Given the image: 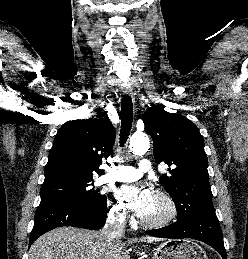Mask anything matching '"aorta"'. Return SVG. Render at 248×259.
<instances>
[{"instance_id":"aorta-1","label":"aorta","mask_w":248,"mask_h":259,"mask_svg":"<svg viewBox=\"0 0 248 259\" xmlns=\"http://www.w3.org/2000/svg\"><path fill=\"white\" fill-rule=\"evenodd\" d=\"M150 147L149 138L145 135L132 136L130 139V150L135 155L144 154Z\"/></svg>"}]
</instances>
